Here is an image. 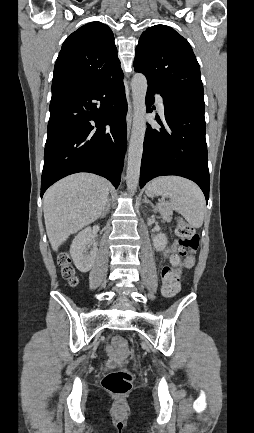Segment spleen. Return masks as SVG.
<instances>
[{"instance_id": "obj_1", "label": "spleen", "mask_w": 254, "mask_h": 433, "mask_svg": "<svg viewBox=\"0 0 254 433\" xmlns=\"http://www.w3.org/2000/svg\"><path fill=\"white\" fill-rule=\"evenodd\" d=\"M146 194L169 197L171 207L181 214L191 227L202 226L205 198L194 182L178 176H162L148 184Z\"/></svg>"}]
</instances>
